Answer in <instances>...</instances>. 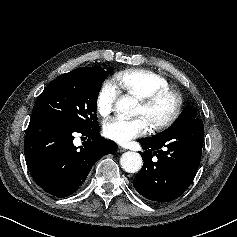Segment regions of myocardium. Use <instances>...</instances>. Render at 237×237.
<instances>
[{"label": "myocardium", "instance_id": "obj_1", "mask_svg": "<svg viewBox=\"0 0 237 237\" xmlns=\"http://www.w3.org/2000/svg\"><path fill=\"white\" fill-rule=\"evenodd\" d=\"M164 98H171L173 100V108L166 117L152 121L149 124L153 132H159L170 127L178 119L183 108L182 95L172 89H161L139 98V102L146 109H151Z\"/></svg>", "mask_w": 237, "mask_h": 237}]
</instances>
